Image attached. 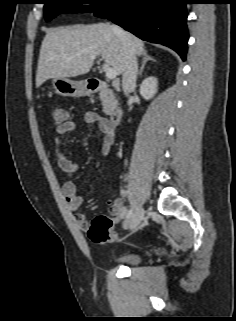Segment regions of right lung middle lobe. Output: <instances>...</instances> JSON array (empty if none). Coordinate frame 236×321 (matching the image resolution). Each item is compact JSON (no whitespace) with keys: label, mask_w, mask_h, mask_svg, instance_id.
I'll list each match as a JSON object with an SVG mask.
<instances>
[{"label":"right lung middle lobe","mask_w":236,"mask_h":321,"mask_svg":"<svg viewBox=\"0 0 236 321\" xmlns=\"http://www.w3.org/2000/svg\"><path fill=\"white\" fill-rule=\"evenodd\" d=\"M89 1V2H82ZM110 0H45L44 12L46 21H50L64 12H95ZM87 3L89 6H82Z\"/></svg>","instance_id":"right-lung-middle-lobe-1"}]
</instances>
